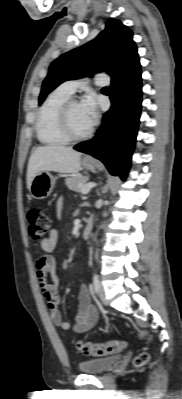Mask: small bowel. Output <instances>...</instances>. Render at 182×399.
Instances as JSON below:
<instances>
[{"mask_svg":"<svg viewBox=\"0 0 182 399\" xmlns=\"http://www.w3.org/2000/svg\"><path fill=\"white\" fill-rule=\"evenodd\" d=\"M62 210V200L58 201L57 213L60 215ZM58 242V231L52 229L49 235L40 242L41 249L45 254L41 255L36 261V273L39 279L40 288L47 301L51 321L62 330L72 328V323L64 321L58 306L61 298L58 292L59 279L56 275V258L50 254ZM50 277V280L48 278ZM98 320L97 311L91 301L88 288L82 284L79 290L78 311L75 317L74 329L77 332H85L92 328Z\"/></svg>","mask_w":182,"mask_h":399,"instance_id":"c3829d8e","label":"small bowel"}]
</instances>
